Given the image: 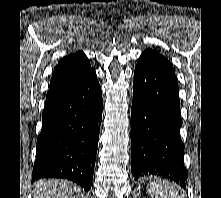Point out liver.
I'll return each mask as SVG.
<instances>
[{
  "label": "liver",
  "instance_id": "1",
  "mask_svg": "<svg viewBox=\"0 0 221 198\" xmlns=\"http://www.w3.org/2000/svg\"><path fill=\"white\" fill-rule=\"evenodd\" d=\"M74 186L65 179H44L35 184L33 198H73Z\"/></svg>",
  "mask_w": 221,
  "mask_h": 198
}]
</instances>
